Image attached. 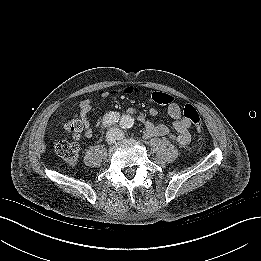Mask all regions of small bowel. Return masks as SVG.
<instances>
[{
    "label": "small bowel",
    "mask_w": 261,
    "mask_h": 261,
    "mask_svg": "<svg viewBox=\"0 0 261 261\" xmlns=\"http://www.w3.org/2000/svg\"><path fill=\"white\" fill-rule=\"evenodd\" d=\"M150 103H157L153 95L148 98ZM105 102V96H102L101 99H84L79 104V118L84 127V135L86 137H90L92 135V131L89 127V112L93 106L101 105ZM158 104V103H157ZM167 113L172 120V127L175 130L173 134L168 125L165 124H154L150 120H148L144 113L140 112L138 114L137 120L143 124L146 135L148 137H170L174 139L180 145H187L190 143L191 136L189 130L191 128L192 123L186 117L182 116L181 108L176 103L171 101L167 106ZM149 114L151 116H155L157 114V109L152 107L149 110Z\"/></svg>",
    "instance_id": "small-bowel-1"
}]
</instances>
